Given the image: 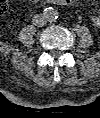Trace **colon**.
<instances>
[{"label":"colon","instance_id":"colon-1","mask_svg":"<svg viewBox=\"0 0 100 118\" xmlns=\"http://www.w3.org/2000/svg\"><path fill=\"white\" fill-rule=\"evenodd\" d=\"M74 1L75 0H66V2H68V3H72ZM7 2H8V0H0V10L2 12H4L6 10Z\"/></svg>","mask_w":100,"mask_h":118}]
</instances>
